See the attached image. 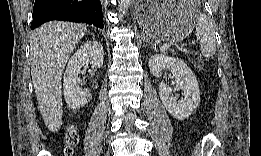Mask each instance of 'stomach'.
<instances>
[{
	"instance_id": "stomach-1",
	"label": "stomach",
	"mask_w": 261,
	"mask_h": 156,
	"mask_svg": "<svg viewBox=\"0 0 261 156\" xmlns=\"http://www.w3.org/2000/svg\"><path fill=\"white\" fill-rule=\"evenodd\" d=\"M199 9L193 2H140L136 18L143 32L151 39L177 42L193 30Z\"/></svg>"
}]
</instances>
